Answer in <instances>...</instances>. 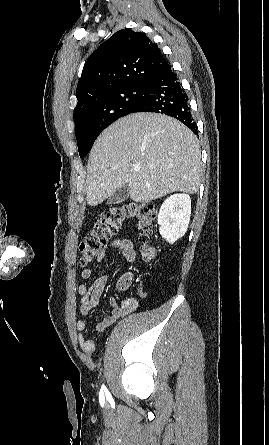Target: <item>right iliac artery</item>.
Instances as JSON below:
<instances>
[{
    "instance_id": "82829eb1",
    "label": "right iliac artery",
    "mask_w": 269,
    "mask_h": 445,
    "mask_svg": "<svg viewBox=\"0 0 269 445\" xmlns=\"http://www.w3.org/2000/svg\"><path fill=\"white\" fill-rule=\"evenodd\" d=\"M101 391H107V389H106V387L104 385H102Z\"/></svg>"
}]
</instances>
